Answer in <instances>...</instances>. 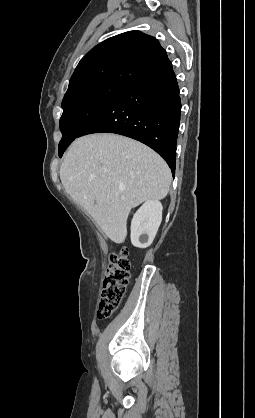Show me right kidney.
Masks as SVG:
<instances>
[{"instance_id": "right-kidney-1", "label": "right kidney", "mask_w": 255, "mask_h": 418, "mask_svg": "<svg viewBox=\"0 0 255 418\" xmlns=\"http://www.w3.org/2000/svg\"><path fill=\"white\" fill-rule=\"evenodd\" d=\"M162 204L147 200L134 214L131 222V243L138 248L148 247L154 240L162 221Z\"/></svg>"}]
</instances>
